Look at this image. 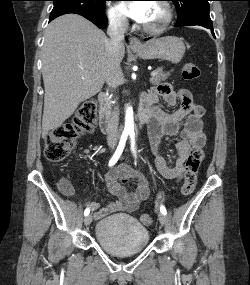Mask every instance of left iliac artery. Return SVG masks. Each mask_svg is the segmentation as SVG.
I'll return each mask as SVG.
<instances>
[{
    "instance_id": "1",
    "label": "left iliac artery",
    "mask_w": 250,
    "mask_h": 285,
    "mask_svg": "<svg viewBox=\"0 0 250 285\" xmlns=\"http://www.w3.org/2000/svg\"><path fill=\"white\" fill-rule=\"evenodd\" d=\"M130 138H131V150H132L133 154L136 156V151H135V137H134V134H133V133L130 134ZM160 211H161V213H163L164 215L167 214L166 208H165L163 205L160 206Z\"/></svg>"
}]
</instances>
